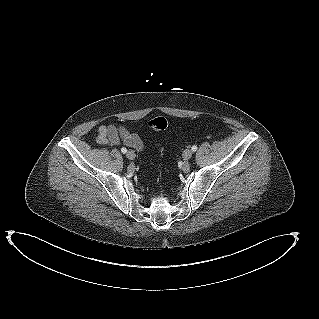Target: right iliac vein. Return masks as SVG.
Listing matches in <instances>:
<instances>
[{
  "mask_svg": "<svg viewBox=\"0 0 319 319\" xmlns=\"http://www.w3.org/2000/svg\"><path fill=\"white\" fill-rule=\"evenodd\" d=\"M126 157L129 159V160H134L136 155H135V152L132 151V150H129L126 154Z\"/></svg>",
  "mask_w": 319,
  "mask_h": 319,
  "instance_id": "right-iliac-vein-1",
  "label": "right iliac vein"
}]
</instances>
